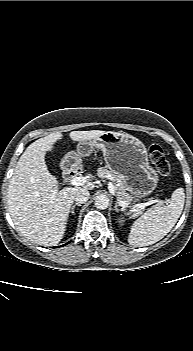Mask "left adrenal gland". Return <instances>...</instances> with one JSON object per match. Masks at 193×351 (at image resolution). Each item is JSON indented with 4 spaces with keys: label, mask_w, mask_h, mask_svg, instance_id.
<instances>
[{
    "label": "left adrenal gland",
    "mask_w": 193,
    "mask_h": 351,
    "mask_svg": "<svg viewBox=\"0 0 193 351\" xmlns=\"http://www.w3.org/2000/svg\"><path fill=\"white\" fill-rule=\"evenodd\" d=\"M114 208H115V211H119V209H118V203L115 201V206H114Z\"/></svg>",
    "instance_id": "a2214340"
}]
</instances>
